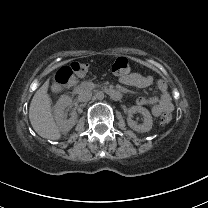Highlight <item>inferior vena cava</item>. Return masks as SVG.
Masks as SVG:
<instances>
[{"label": "inferior vena cava", "mask_w": 208, "mask_h": 208, "mask_svg": "<svg viewBox=\"0 0 208 208\" xmlns=\"http://www.w3.org/2000/svg\"><path fill=\"white\" fill-rule=\"evenodd\" d=\"M91 97H92V92L91 91L82 90L79 93L78 100L81 101V102H87L91 99Z\"/></svg>", "instance_id": "inferior-vena-cava-1"}]
</instances>
